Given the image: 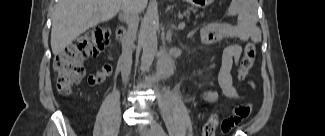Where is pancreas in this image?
<instances>
[{
	"instance_id": "obj_1",
	"label": "pancreas",
	"mask_w": 325,
	"mask_h": 136,
	"mask_svg": "<svg viewBox=\"0 0 325 136\" xmlns=\"http://www.w3.org/2000/svg\"><path fill=\"white\" fill-rule=\"evenodd\" d=\"M184 15L189 16L184 18L185 24H194L197 22V19H201L202 14L198 9H194L193 5H188L187 9L184 10Z\"/></svg>"
}]
</instances>
